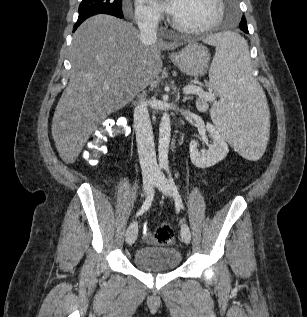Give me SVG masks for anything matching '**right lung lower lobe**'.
Returning <instances> with one entry per match:
<instances>
[{
	"mask_svg": "<svg viewBox=\"0 0 307 317\" xmlns=\"http://www.w3.org/2000/svg\"><path fill=\"white\" fill-rule=\"evenodd\" d=\"M94 15H96V14H94ZM90 16H93V15H89V16H85V17L78 18L77 23L74 25L73 31H75V30L77 29V27H78L84 20H86L87 18H89ZM120 18H123V16L120 17Z\"/></svg>",
	"mask_w": 307,
	"mask_h": 317,
	"instance_id": "obj_1",
	"label": "right lung lower lobe"
}]
</instances>
